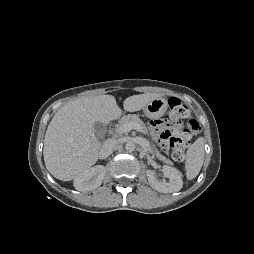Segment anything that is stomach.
Masks as SVG:
<instances>
[{
	"label": "stomach",
	"mask_w": 254,
	"mask_h": 254,
	"mask_svg": "<svg viewBox=\"0 0 254 254\" xmlns=\"http://www.w3.org/2000/svg\"><path fill=\"white\" fill-rule=\"evenodd\" d=\"M168 108L167 100L163 97H158L149 102L143 111L145 115L150 119H157L162 117Z\"/></svg>",
	"instance_id": "obj_1"
}]
</instances>
